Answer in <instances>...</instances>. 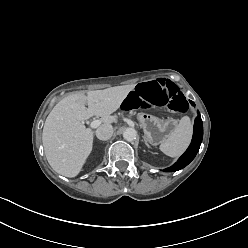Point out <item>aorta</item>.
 I'll list each match as a JSON object with an SVG mask.
<instances>
[{"instance_id": "obj_1", "label": "aorta", "mask_w": 248, "mask_h": 248, "mask_svg": "<svg viewBox=\"0 0 248 248\" xmlns=\"http://www.w3.org/2000/svg\"><path fill=\"white\" fill-rule=\"evenodd\" d=\"M123 137L126 141H134L137 137V132L135 129L133 128H127L124 132H123Z\"/></svg>"}]
</instances>
